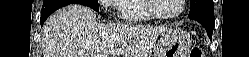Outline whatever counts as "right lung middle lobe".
Wrapping results in <instances>:
<instances>
[{
	"instance_id": "dd1d6c3e",
	"label": "right lung middle lobe",
	"mask_w": 249,
	"mask_h": 57,
	"mask_svg": "<svg viewBox=\"0 0 249 57\" xmlns=\"http://www.w3.org/2000/svg\"><path fill=\"white\" fill-rule=\"evenodd\" d=\"M83 5L88 6L95 11H99L98 0H82Z\"/></svg>"
}]
</instances>
